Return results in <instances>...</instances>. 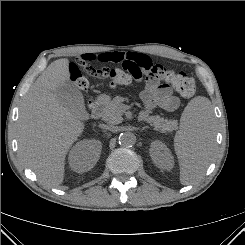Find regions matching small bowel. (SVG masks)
<instances>
[{"mask_svg": "<svg viewBox=\"0 0 245 245\" xmlns=\"http://www.w3.org/2000/svg\"><path fill=\"white\" fill-rule=\"evenodd\" d=\"M96 58L103 63H122L124 60L130 59L140 69V74L132 78L138 82L142 80L143 75L146 76L147 71L153 65L147 55L134 52H103ZM141 98L147 109L159 107L166 111H174L180 104L179 98L173 94L170 87L151 80H147Z\"/></svg>", "mask_w": 245, "mask_h": 245, "instance_id": "small-bowel-1", "label": "small bowel"}]
</instances>
